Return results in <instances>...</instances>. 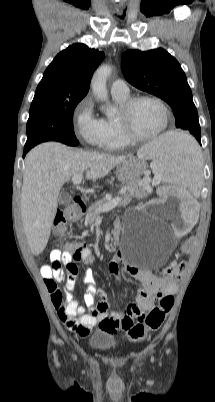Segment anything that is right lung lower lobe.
Segmentation results:
<instances>
[{"mask_svg":"<svg viewBox=\"0 0 215 402\" xmlns=\"http://www.w3.org/2000/svg\"><path fill=\"white\" fill-rule=\"evenodd\" d=\"M30 147H24V153H23V157L26 155V153L30 150Z\"/></svg>","mask_w":215,"mask_h":402,"instance_id":"right-lung-lower-lobe-1","label":"right lung lower lobe"}]
</instances>
